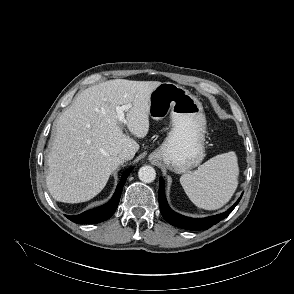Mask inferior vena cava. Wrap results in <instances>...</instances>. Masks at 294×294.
<instances>
[{"label":"inferior vena cava","mask_w":294,"mask_h":294,"mask_svg":"<svg viewBox=\"0 0 294 294\" xmlns=\"http://www.w3.org/2000/svg\"><path fill=\"white\" fill-rule=\"evenodd\" d=\"M119 158L122 161H126V160H130L133 158V155L127 151V150H123L120 154H119Z\"/></svg>","instance_id":"1"}]
</instances>
